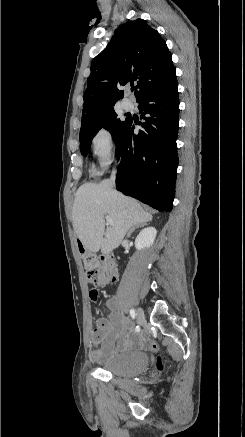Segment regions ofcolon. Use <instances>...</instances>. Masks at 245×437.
Masks as SVG:
<instances>
[{
  "label": "colon",
  "instance_id": "colon-1",
  "mask_svg": "<svg viewBox=\"0 0 245 437\" xmlns=\"http://www.w3.org/2000/svg\"><path fill=\"white\" fill-rule=\"evenodd\" d=\"M85 276L88 283L92 284L95 289L91 291L92 300L96 301L99 296L98 288L110 285L116 282L118 278V268L116 260L110 255L91 254L84 258ZM157 344L152 343L151 348L156 350ZM158 368L164 369L161 361L158 362Z\"/></svg>",
  "mask_w": 245,
  "mask_h": 437
}]
</instances>
